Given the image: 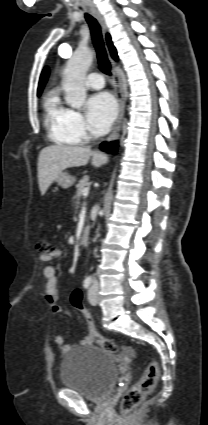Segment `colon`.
Segmentation results:
<instances>
[{
	"label": "colon",
	"instance_id": "obj_1",
	"mask_svg": "<svg viewBox=\"0 0 208 425\" xmlns=\"http://www.w3.org/2000/svg\"><path fill=\"white\" fill-rule=\"evenodd\" d=\"M36 249L40 254L45 255H49L54 252L53 246L45 238H42L37 242ZM70 303L75 310L82 313L89 330L91 341L111 354L118 353V345L112 339L104 337L96 330L92 318L83 306V294L81 290L74 289L71 292ZM158 377L159 366L158 363L152 359L148 362L141 379L124 394L120 403V410L124 415L131 414L139 406L142 400L154 390Z\"/></svg>",
	"mask_w": 208,
	"mask_h": 425
}]
</instances>
